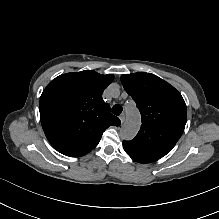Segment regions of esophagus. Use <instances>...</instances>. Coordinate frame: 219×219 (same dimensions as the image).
<instances>
[{"label": "esophagus", "mask_w": 219, "mask_h": 219, "mask_svg": "<svg viewBox=\"0 0 219 219\" xmlns=\"http://www.w3.org/2000/svg\"><path fill=\"white\" fill-rule=\"evenodd\" d=\"M119 119H120V121H121V124H123L124 121H125V114L122 113V114L119 116Z\"/></svg>", "instance_id": "obj_1"}]
</instances>
